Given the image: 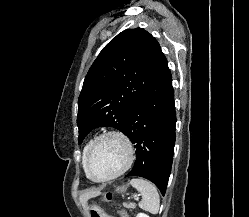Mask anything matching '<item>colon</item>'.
<instances>
[{
  "label": "colon",
  "mask_w": 249,
  "mask_h": 217,
  "mask_svg": "<svg viewBox=\"0 0 249 217\" xmlns=\"http://www.w3.org/2000/svg\"><path fill=\"white\" fill-rule=\"evenodd\" d=\"M109 199H111V193L108 192L105 195V200H109ZM119 214L121 217H128L125 211H119Z\"/></svg>",
  "instance_id": "colon-1"
}]
</instances>
